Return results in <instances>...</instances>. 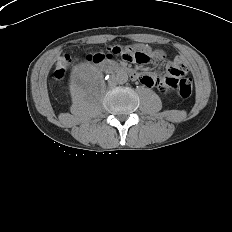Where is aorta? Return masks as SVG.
I'll use <instances>...</instances> for the list:
<instances>
[{
    "instance_id": "1",
    "label": "aorta",
    "mask_w": 232,
    "mask_h": 232,
    "mask_svg": "<svg viewBox=\"0 0 232 232\" xmlns=\"http://www.w3.org/2000/svg\"><path fill=\"white\" fill-rule=\"evenodd\" d=\"M115 81L119 84H124L128 81V75L125 72H119L115 76Z\"/></svg>"
}]
</instances>
